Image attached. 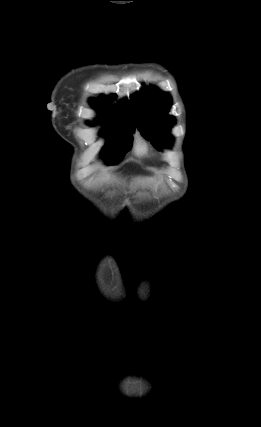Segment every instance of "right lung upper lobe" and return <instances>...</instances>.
<instances>
[{
	"instance_id": "obj_1",
	"label": "right lung upper lobe",
	"mask_w": 261,
	"mask_h": 427,
	"mask_svg": "<svg viewBox=\"0 0 261 427\" xmlns=\"http://www.w3.org/2000/svg\"><path fill=\"white\" fill-rule=\"evenodd\" d=\"M114 100L113 97H102L101 102L106 105L109 109V112H103L100 117H98L99 121H106L108 120L109 123H131L134 125L133 123V117L131 115L130 112V108H129V104L128 102L125 100L121 103V105H119L118 107H110L109 104L110 102ZM92 105H95L96 107H100V103H98L97 101H91ZM102 108V106H101ZM117 112L118 114L115 117H112L114 115V113Z\"/></svg>"
}]
</instances>
